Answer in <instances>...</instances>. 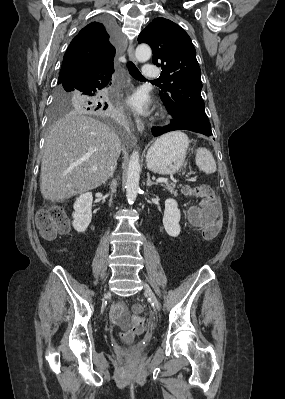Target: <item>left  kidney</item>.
<instances>
[{"label":"left kidney","instance_id":"obj_1","mask_svg":"<svg viewBox=\"0 0 285 399\" xmlns=\"http://www.w3.org/2000/svg\"><path fill=\"white\" fill-rule=\"evenodd\" d=\"M181 218L178 204L174 199H167L165 201V211L163 216V226L167 234L171 237H177L181 228L179 225Z\"/></svg>","mask_w":285,"mask_h":399}]
</instances>
